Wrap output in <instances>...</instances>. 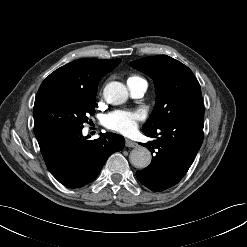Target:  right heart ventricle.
Instances as JSON below:
<instances>
[{
	"label": "right heart ventricle",
	"mask_w": 247,
	"mask_h": 247,
	"mask_svg": "<svg viewBox=\"0 0 247 247\" xmlns=\"http://www.w3.org/2000/svg\"><path fill=\"white\" fill-rule=\"evenodd\" d=\"M133 79H140L139 77H137V76H131V77H129V79L128 80H133Z\"/></svg>",
	"instance_id": "1"
}]
</instances>
